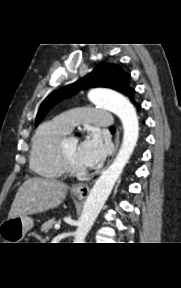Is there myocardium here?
<instances>
[{
	"label": "myocardium",
	"instance_id": "f54148a6",
	"mask_svg": "<svg viewBox=\"0 0 181 288\" xmlns=\"http://www.w3.org/2000/svg\"><path fill=\"white\" fill-rule=\"evenodd\" d=\"M68 138H63L62 141L59 144V158L60 161L65 169V171L69 174L78 175L83 172L81 168H77L73 165V163L70 161V159L67 157L64 151V143Z\"/></svg>",
	"mask_w": 181,
	"mask_h": 288
}]
</instances>
